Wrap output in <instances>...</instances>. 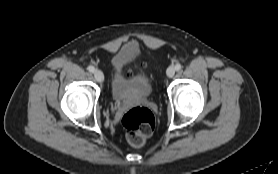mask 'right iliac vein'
I'll list each match as a JSON object with an SVG mask.
<instances>
[{
    "instance_id": "right-iliac-vein-1",
    "label": "right iliac vein",
    "mask_w": 278,
    "mask_h": 174,
    "mask_svg": "<svg viewBox=\"0 0 278 174\" xmlns=\"http://www.w3.org/2000/svg\"><path fill=\"white\" fill-rule=\"evenodd\" d=\"M94 77L97 82L102 83L104 81V75L100 70L94 72Z\"/></svg>"
}]
</instances>
